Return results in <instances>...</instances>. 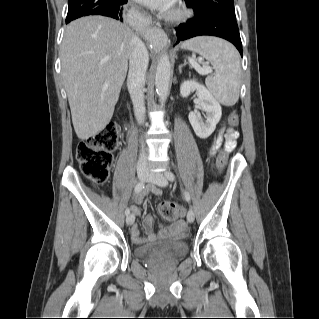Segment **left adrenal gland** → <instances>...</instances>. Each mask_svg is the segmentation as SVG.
Returning <instances> with one entry per match:
<instances>
[{"label": "left adrenal gland", "mask_w": 319, "mask_h": 319, "mask_svg": "<svg viewBox=\"0 0 319 319\" xmlns=\"http://www.w3.org/2000/svg\"><path fill=\"white\" fill-rule=\"evenodd\" d=\"M186 64H187V62L184 61V63L179 66V72H180V73L182 72V68H183Z\"/></svg>", "instance_id": "1"}]
</instances>
